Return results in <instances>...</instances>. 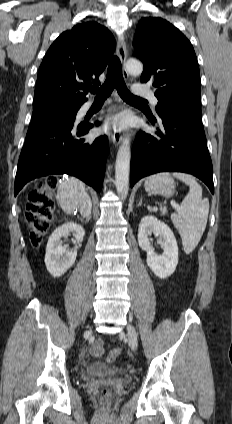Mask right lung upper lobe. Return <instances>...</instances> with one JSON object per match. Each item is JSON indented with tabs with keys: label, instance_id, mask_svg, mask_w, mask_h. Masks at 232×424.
Returning a JSON list of instances; mask_svg holds the SVG:
<instances>
[{
	"label": "right lung upper lobe",
	"instance_id": "right-lung-upper-lobe-1",
	"mask_svg": "<svg viewBox=\"0 0 232 424\" xmlns=\"http://www.w3.org/2000/svg\"><path fill=\"white\" fill-rule=\"evenodd\" d=\"M116 47L111 32L96 22L75 25L48 49L38 72L34 108L81 106L86 82L99 84V75Z\"/></svg>",
	"mask_w": 232,
	"mask_h": 424
}]
</instances>
